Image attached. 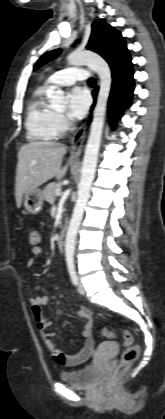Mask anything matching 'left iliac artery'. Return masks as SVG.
I'll use <instances>...</instances> for the list:
<instances>
[{
    "label": "left iliac artery",
    "instance_id": "obj_1",
    "mask_svg": "<svg viewBox=\"0 0 165 419\" xmlns=\"http://www.w3.org/2000/svg\"><path fill=\"white\" fill-rule=\"evenodd\" d=\"M68 270H69V274L71 276V280H72L73 284L74 285H77L78 284V276H77V273H76V270H75L74 265L73 264H70L68 266Z\"/></svg>",
    "mask_w": 165,
    "mask_h": 419
}]
</instances>
